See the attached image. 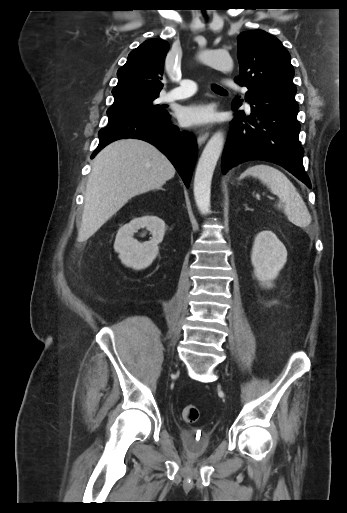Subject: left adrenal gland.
<instances>
[{
  "label": "left adrenal gland",
  "mask_w": 347,
  "mask_h": 513,
  "mask_svg": "<svg viewBox=\"0 0 347 513\" xmlns=\"http://www.w3.org/2000/svg\"><path fill=\"white\" fill-rule=\"evenodd\" d=\"M244 206H245V210H249L247 204H244Z\"/></svg>",
  "instance_id": "1"
}]
</instances>
